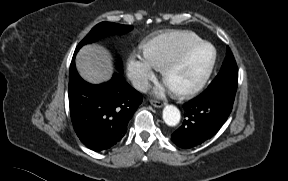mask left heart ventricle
Listing matches in <instances>:
<instances>
[{
  "instance_id": "1",
  "label": "left heart ventricle",
  "mask_w": 288,
  "mask_h": 181,
  "mask_svg": "<svg viewBox=\"0 0 288 181\" xmlns=\"http://www.w3.org/2000/svg\"><path fill=\"white\" fill-rule=\"evenodd\" d=\"M213 51L205 47L193 55L167 80L168 85L173 87L188 85L199 79L206 71L212 59Z\"/></svg>"
}]
</instances>
